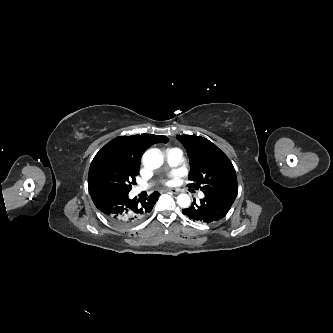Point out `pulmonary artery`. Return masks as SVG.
I'll list each match as a JSON object with an SVG mask.
<instances>
[{
  "label": "pulmonary artery",
  "instance_id": "pulmonary-artery-1",
  "mask_svg": "<svg viewBox=\"0 0 333 333\" xmlns=\"http://www.w3.org/2000/svg\"><path fill=\"white\" fill-rule=\"evenodd\" d=\"M182 159H183V153L179 148H171L166 151V161L170 167L178 166L182 162ZM148 188H149V185L138 186L135 189V192L139 193ZM198 196L200 198H203L204 193L200 192Z\"/></svg>",
  "mask_w": 333,
  "mask_h": 333
}]
</instances>
